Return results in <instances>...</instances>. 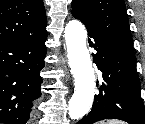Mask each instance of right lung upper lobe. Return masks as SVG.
Listing matches in <instances>:
<instances>
[{
    "label": "right lung upper lobe",
    "instance_id": "obj_1",
    "mask_svg": "<svg viewBox=\"0 0 145 124\" xmlns=\"http://www.w3.org/2000/svg\"><path fill=\"white\" fill-rule=\"evenodd\" d=\"M46 23L43 0H0V42L42 33Z\"/></svg>",
    "mask_w": 145,
    "mask_h": 124
}]
</instances>
